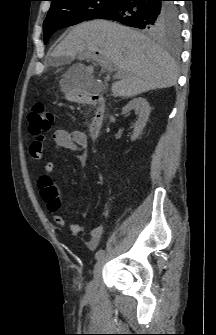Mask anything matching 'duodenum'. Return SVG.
Here are the masks:
<instances>
[{"mask_svg":"<svg viewBox=\"0 0 216 335\" xmlns=\"http://www.w3.org/2000/svg\"><path fill=\"white\" fill-rule=\"evenodd\" d=\"M91 104L96 106L95 114L90 125V134L93 137H97L101 130L104 116V109L102 106L101 97L98 95H93L90 99Z\"/></svg>","mask_w":216,"mask_h":335,"instance_id":"1","label":"duodenum"}]
</instances>
